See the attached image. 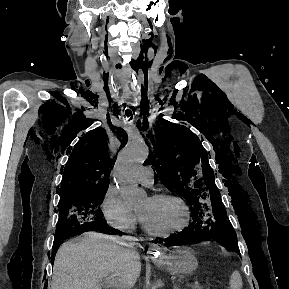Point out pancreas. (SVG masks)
Listing matches in <instances>:
<instances>
[{"label":"pancreas","mask_w":289,"mask_h":289,"mask_svg":"<svg viewBox=\"0 0 289 289\" xmlns=\"http://www.w3.org/2000/svg\"><path fill=\"white\" fill-rule=\"evenodd\" d=\"M193 289H203L201 286L200 287H193Z\"/></svg>","instance_id":"cf45deb5"}]
</instances>
